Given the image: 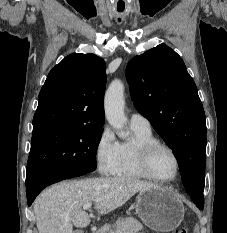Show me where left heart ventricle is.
<instances>
[{
  "instance_id": "1",
  "label": "left heart ventricle",
  "mask_w": 227,
  "mask_h": 233,
  "mask_svg": "<svg viewBox=\"0 0 227 233\" xmlns=\"http://www.w3.org/2000/svg\"><path fill=\"white\" fill-rule=\"evenodd\" d=\"M152 172L159 178L169 179L175 174V161L166 150H157L151 158Z\"/></svg>"
}]
</instances>
